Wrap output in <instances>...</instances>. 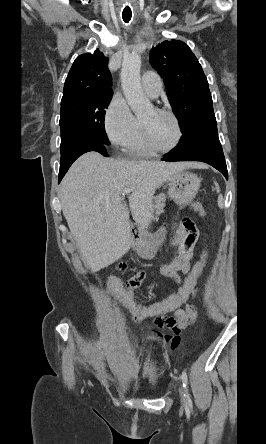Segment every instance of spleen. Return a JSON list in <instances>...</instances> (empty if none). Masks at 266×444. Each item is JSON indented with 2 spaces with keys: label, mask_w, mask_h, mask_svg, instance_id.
<instances>
[{
  "label": "spleen",
  "mask_w": 266,
  "mask_h": 444,
  "mask_svg": "<svg viewBox=\"0 0 266 444\" xmlns=\"http://www.w3.org/2000/svg\"><path fill=\"white\" fill-rule=\"evenodd\" d=\"M215 185H216L217 191L219 192L220 190H219L218 183L215 182ZM218 205H219L220 208H223V196L222 195H219Z\"/></svg>",
  "instance_id": "1"
}]
</instances>
